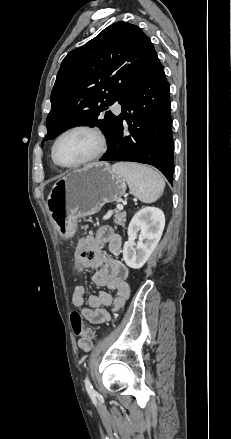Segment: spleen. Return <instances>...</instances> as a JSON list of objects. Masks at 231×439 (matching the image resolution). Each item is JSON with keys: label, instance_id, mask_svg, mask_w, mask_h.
Masks as SVG:
<instances>
[{"label": "spleen", "instance_id": "1", "mask_svg": "<svg viewBox=\"0 0 231 439\" xmlns=\"http://www.w3.org/2000/svg\"><path fill=\"white\" fill-rule=\"evenodd\" d=\"M112 169L125 179L131 193L144 203H152L164 193L165 182L162 176L150 167L136 163H116Z\"/></svg>", "mask_w": 231, "mask_h": 439}]
</instances>
